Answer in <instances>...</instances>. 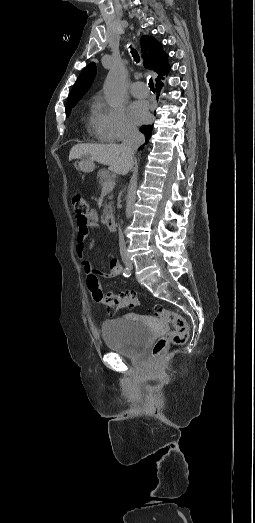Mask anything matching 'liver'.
<instances>
[{"label": "liver", "instance_id": "liver-1", "mask_svg": "<svg viewBox=\"0 0 255 523\" xmlns=\"http://www.w3.org/2000/svg\"><path fill=\"white\" fill-rule=\"evenodd\" d=\"M122 150V144H76L69 154V160L89 156L91 162L109 166V170L115 174H127L130 166L121 158Z\"/></svg>", "mask_w": 255, "mask_h": 523}]
</instances>
